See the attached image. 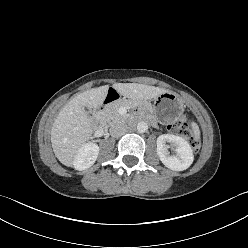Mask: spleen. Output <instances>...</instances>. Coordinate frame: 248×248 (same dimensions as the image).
Here are the masks:
<instances>
[{"mask_svg":"<svg viewBox=\"0 0 248 248\" xmlns=\"http://www.w3.org/2000/svg\"><path fill=\"white\" fill-rule=\"evenodd\" d=\"M191 126H192V129H193V131H194L195 136H196V137H199L200 131H199L198 125H197L196 123L193 122V123L191 124Z\"/></svg>","mask_w":248,"mask_h":248,"instance_id":"obj_1","label":"spleen"}]
</instances>
